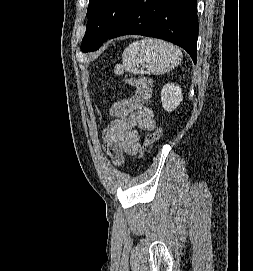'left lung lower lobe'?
<instances>
[{
    "label": "left lung lower lobe",
    "instance_id": "obj_1",
    "mask_svg": "<svg viewBox=\"0 0 253 271\" xmlns=\"http://www.w3.org/2000/svg\"><path fill=\"white\" fill-rule=\"evenodd\" d=\"M197 0H132L128 13L107 39L135 34L172 42L197 61Z\"/></svg>",
    "mask_w": 253,
    "mask_h": 271
}]
</instances>
